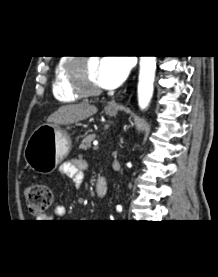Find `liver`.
Instances as JSON below:
<instances>
[{
    "label": "liver",
    "mask_w": 218,
    "mask_h": 277,
    "mask_svg": "<svg viewBox=\"0 0 218 277\" xmlns=\"http://www.w3.org/2000/svg\"><path fill=\"white\" fill-rule=\"evenodd\" d=\"M97 111V107L88 102L64 105L48 117L47 123L69 125L85 120Z\"/></svg>",
    "instance_id": "liver-1"
}]
</instances>
